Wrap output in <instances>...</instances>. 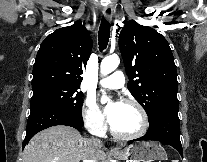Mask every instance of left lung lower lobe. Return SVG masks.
I'll list each match as a JSON object with an SVG mask.
<instances>
[{"mask_svg": "<svg viewBox=\"0 0 207 162\" xmlns=\"http://www.w3.org/2000/svg\"><path fill=\"white\" fill-rule=\"evenodd\" d=\"M150 121V127L147 133L138 139L160 141L165 145H171L183 157L182 145L180 142V121L178 118V109H163L154 115Z\"/></svg>", "mask_w": 207, "mask_h": 162, "instance_id": "0a47b994", "label": "left lung lower lobe"}]
</instances>
